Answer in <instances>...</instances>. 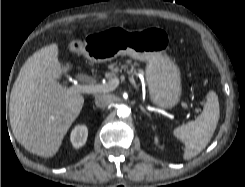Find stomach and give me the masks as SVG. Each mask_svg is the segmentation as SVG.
Masks as SVG:
<instances>
[{
  "label": "stomach",
  "instance_id": "1",
  "mask_svg": "<svg viewBox=\"0 0 245 187\" xmlns=\"http://www.w3.org/2000/svg\"><path fill=\"white\" fill-rule=\"evenodd\" d=\"M168 43L169 35L160 28L129 31L112 27L89 34L83 41H72L70 49L92 62L103 63L125 55L146 62L151 101L159 107L172 108L181 97V78L178 66L165 53Z\"/></svg>",
  "mask_w": 245,
  "mask_h": 187
}]
</instances>
